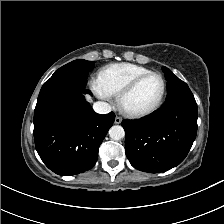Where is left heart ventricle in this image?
<instances>
[{
	"mask_svg": "<svg viewBox=\"0 0 224 224\" xmlns=\"http://www.w3.org/2000/svg\"><path fill=\"white\" fill-rule=\"evenodd\" d=\"M161 88V80L158 77L145 79L124 99L125 108L139 111L151 107L158 99Z\"/></svg>",
	"mask_w": 224,
	"mask_h": 224,
	"instance_id": "left-heart-ventricle-1",
	"label": "left heart ventricle"
}]
</instances>
